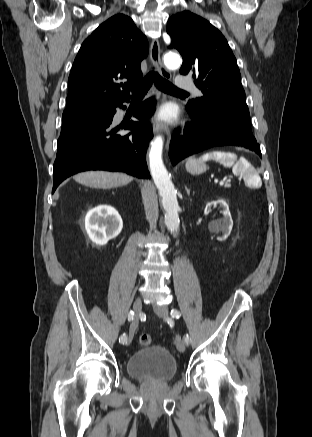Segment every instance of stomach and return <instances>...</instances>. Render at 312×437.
Wrapping results in <instances>:
<instances>
[{"label": "stomach", "mask_w": 312, "mask_h": 437, "mask_svg": "<svg viewBox=\"0 0 312 437\" xmlns=\"http://www.w3.org/2000/svg\"><path fill=\"white\" fill-rule=\"evenodd\" d=\"M186 170L193 175H198L205 172L207 170V166L201 159L190 158L186 162Z\"/></svg>", "instance_id": "0dacf381"}]
</instances>
